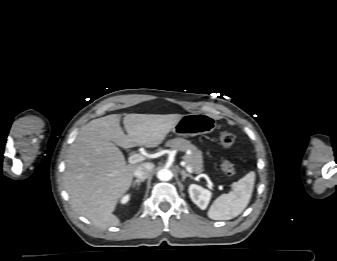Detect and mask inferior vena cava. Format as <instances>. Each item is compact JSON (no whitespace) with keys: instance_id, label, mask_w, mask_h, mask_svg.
I'll use <instances>...</instances> for the list:
<instances>
[{"instance_id":"1","label":"inferior vena cava","mask_w":337,"mask_h":261,"mask_svg":"<svg viewBox=\"0 0 337 261\" xmlns=\"http://www.w3.org/2000/svg\"><path fill=\"white\" fill-rule=\"evenodd\" d=\"M153 168L154 165L152 163H145L142 165H138L135 168L133 175L138 179H146L150 175Z\"/></svg>"}]
</instances>
